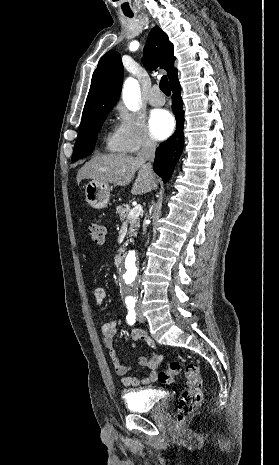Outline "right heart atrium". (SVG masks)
<instances>
[{
  "label": "right heart atrium",
  "instance_id": "1",
  "mask_svg": "<svg viewBox=\"0 0 279 465\" xmlns=\"http://www.w3.org/2000/svg\"><path fill=\"white\" fill-rule=\"evenodd\" d=\"M116 112L117 124L112 139L124 152L137 153L156 147L155 139L139 114L121 105L116 108Z\"/></svg>",
  "mask_w": 279,
  "mask_h": 465
}]
</instances>
